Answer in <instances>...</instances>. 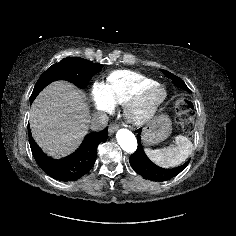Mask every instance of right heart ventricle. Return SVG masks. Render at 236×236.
I'll return each instance as SVG.
<instances>
[{
  "label": "right heart ventricle",
  "mask_w": 236,
  "mask_h": 236,
  "mask_svg": "<svg viewBox=\"0 0 236 236\" xmlns=\"http://www.w3.org/2000/svg\"><path fill=\"white\" fill-rule=\"evenodd\" d=\"M156 81L146 75L130 70H117L110 73L105 81L106 100L112 106L124 105L142 88Z\"/></svg>",
  "instance_id": "obj_1"
}]
</instances>
